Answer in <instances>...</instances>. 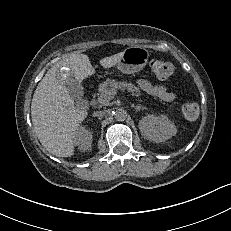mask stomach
I'll return each instance as SVG.
<instances>
[{"instance_id": "0dacf381", "label": "stomach", "mask_w": 231, "mask_h": 231, "mask_svg": "<svg viewBox=\"0 0 231 231\" xmlns=\"http://www.w3.org/2000/svg\"><path fill=\"white\" fill-rule=\"evenodd\" d=\"M149 51L142 46L128 47L123 51V56L117 63V69L125 74L141 71L147 64Z\"/></svg>"}]
</instances>
